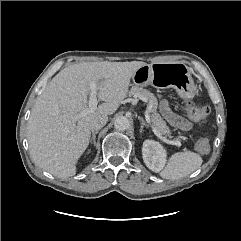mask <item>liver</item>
Returning <instances> with one entry per match:
<instances>
[{
    "label": "liver",
    "instance_id": "obj_1",
    "mask_svg": "<svg viewBox=\"0 0 241 241\" xmlns=\"http://www.w3.org/2000/svg\"><path fill=\"white\" fill-rule=\"evenodd\" d=\"M145 62H83L61 70L38 98L28 120L27 138L33 161L58 178L75 175L87 149L91 121L112 115L126 98L130 80ZM98 84L103 101L90 111V83Z\"/></svg>",
    "mask_w": 241,
    "mask_h": 241
}]
</instances>
